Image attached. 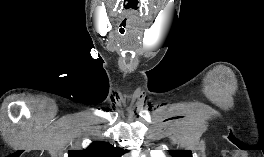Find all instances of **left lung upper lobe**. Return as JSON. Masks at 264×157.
I'll return each mask as SVG.
<instances>
[{
    "instance_id": "5c2ea615",
    "label": "left lung upper lobe",
    "mask_w": 264,
    "mask_h": 157,
    "mask_svg": "<svg viewBox=\"0 0 264 157\" xmlns=\"http://www.w3.org/2000/svg\"><path fill=\"white\" fill-rule=\"evenodd\" d=\"M172 157H192L190 150H169Z\"/></svg>"
}]
</instances>
